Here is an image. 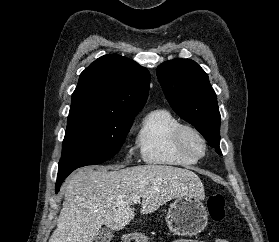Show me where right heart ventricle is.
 I'll list each match as a JSON object with an SVG mask.
<instances>
[{
  "label": "right heart ventricle",
  "mask_w": 279,
  "mask_h": 242,
  "mask_svg": "<svg viewBox=\"0 0 279 242\" xmlns=\"http://www.w3.org/2000/svg\"><path fill=\"white\" fill-rule=\"evenodd\" d=\"M180 122L165 109H154L142 119L136 144L143 161L147 164L188 167L196 163L181 154L174 140Z\"/></svg>",
  "instance_id": "e07e8e85"
}]
</instances>
